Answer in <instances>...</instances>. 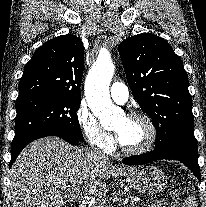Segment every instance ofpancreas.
Masks as SVG:
<instances>
[{
  "instance_id": "cf45deb5",
  "label": "pancreas",
  "mask_w": 206,
  "mask_h": 207,
  "mask_svg": "<svg viewBox=\"0 0 206 207\" xmlns=\"http://www.w3.org/2000/svg\"><path fill=\"white\" fill-rule=\"evenodd\" d=\"M122 193H120V192H118L117 193V195H121ZM108 201H109V199L107 198V199H105V200H101V201H99L98 203H96L93 207H110L109 205H108ZM118 203L119 204H123V201H122V199L121 198H119L118 199ZM125 207H139L135 202H131V203H127L126 204V206Z\"/></svg>"
}]
</instances>
